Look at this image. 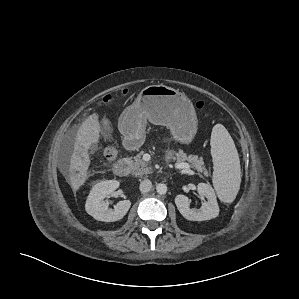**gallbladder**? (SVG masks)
Wrapping results in <instances>:
<instances>
[{"instance_id":"bac80fb5","label":"gallbladder","mask_w":299,"mask_h":299,"mask_svg":"<svg viewBox=\"0 0 299 299\" xmlns=\"http://www.w3.org/2000/svg\"><path fill=\"white\" fill-rule=\"evenodd\" d=\"M103 126H104L105 133L109 134L110 126L108 124V120H106V119L103 120Z\"/></svg>"}]
</instances>
